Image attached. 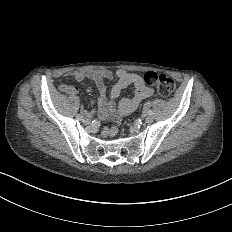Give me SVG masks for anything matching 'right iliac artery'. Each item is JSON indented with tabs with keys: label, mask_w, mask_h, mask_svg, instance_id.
I'll return each mask as SVG.
<instances>
[{
	"label": "right iliac artery",
	"mask_w": 232,
	"mask_h": 232,
	"mask_svg": "<svg viewBox=\"0 0 232 232\" xmlns=\"http://www.w3.org/2000/svg\"><path fill=\"white\" fill-rule=\"evenodd\" d=\"M76 118H77L78 120H83V119H84V117H83L82 115H79V114L76 116Z\"/></svg>",
	"instance_id": "right-iliac-artery-1"
}]
</instances>
